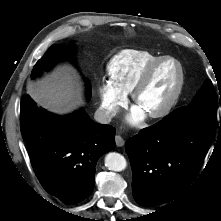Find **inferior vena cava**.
<instances>
[{
  "label": "inferior vena cava",
  "instance_id": "602c4592",
  "mask_svg": "<svg viewBox=\"0 0 221 221\" xmlns=\"http://www.w3.org/2000/svg\"><path fill=\"white\" fill-rule=\"evenodd\" d=\"M118 107H99L94 114V119L102 124H108L112 118L117 114Z\"/></svg>",
  "mask_w": 221,
  "mask_h": 221
}]
</instances>
